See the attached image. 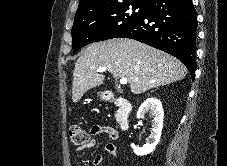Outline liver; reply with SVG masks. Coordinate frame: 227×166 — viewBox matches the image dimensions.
Here are the masks:
<instances>
[{
    "instance_id": "6515ba94",
    "label": "liver",
    "mask_w": 227,
    "mask_h": 166,
    "mask_svg": "<svg viewBox=\"0 0 227 166\" xmlns=\"http://www.w3.org/2000/svg\"><path fill=\"white\" fill-rule=\"evenodd\" d=\"M105 67L115 78H126L133 94L185 78L187 69L177 58L136 40L115 38L89 45L73 71L72 100L78 102L90 89L103 84L97 73Z\"/></svg>"
}]
</instances>
